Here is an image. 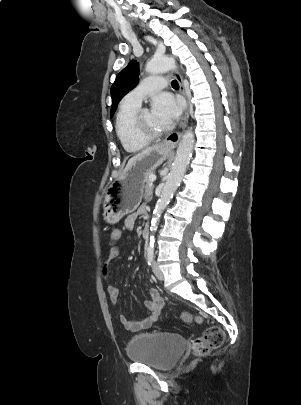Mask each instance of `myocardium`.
I'll use <instances>...</instances> for the list:
<instances>
[{"label": "myocardium", "mask_w": 301, "mask_h": 405, "mask_svg": "<svg viewBox=\"0 0 301 405\" xmlns=\"http://www.w3.org/2000/svg\"><path fill=\"white\" fill-rule=\"evenodd\" d=\"M144 109H139L136 114L133 117L132 121V129L133 132L136 136L139 138H142L147 141H152L156 140L163 135H165L168 131L167 128L161 130V131H151L145 128L144 123H143V113Z\"/></svg>", "instance_id": "f54148a6"}]
</instances>
